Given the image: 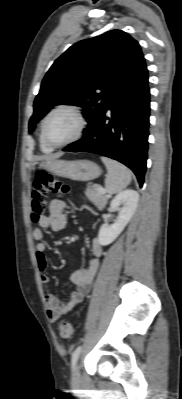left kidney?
I'll return each instance as SVG.
<instances>
[{
  "instance_id": "left-kidney-1",
  "label": "left kidney",
  "mask_w": 182,
  "mask_h": 399,
  "mask_svg": "<svg viewBox=\"0 0 182 399\" xmlns=\"http://www.w3.org/2000/svg\"><path fill=\"white\" fill-rule=\"evenodd\" d=\"M137 191L127 189L116 195L110 203L111 211H118V217L111 225L103 224L98 234L99 244L107 246L111 244L124 230L131 220L138 204Z\"/></svg>"
}]
</instances>
